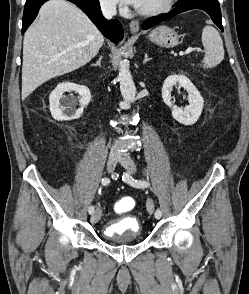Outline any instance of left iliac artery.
I'll list each match as a JSON object with an SVG mask.
<instances>
[{
    "label": "left iliac artery",
    "mask_w": 249,
    "mask_h": 294,
    "mask_svg": "<svg viewBox=\"0 0 249 294\" xmlns=\"http://www.w3.org/2000/svg\"><path fill=\"white\" fill-rule=\"evenodd\" d=\"M123 181H125L126 183H129L130 185L134 186V187H139V188H145L149 186V183L147 181H137L134 180L129 174L125 173L123 175ZM162 216V213L159 209H157L155 211V218L156 219H160Z\"/></svg>",
    "instance_id": "44dca946"
}]
</instances>
